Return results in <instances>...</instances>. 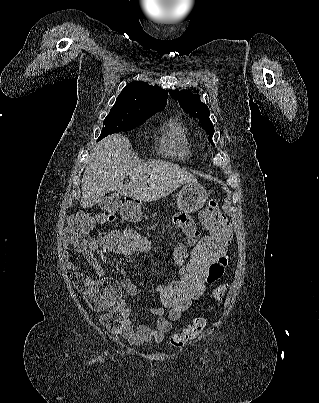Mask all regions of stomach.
<instances>
[{"label": "stomach", "mask_w": 319, "mask_h": 403, "mask_svg": "<svg viewBox=\"0 0 319 403\" xmlns=\"http://www.w3.org/2000/svg\"><path fill=\"white\" fill-rule=\"evenodd\" d=\"M207 197V192L201 184L197 182H189L180 190L177 198V205L183 212L194 213L204 206ZM132 223H143V216L139 209H137L132 216Z\"/></svg>", "instance_id": "stomach-1"}]
</instances>
